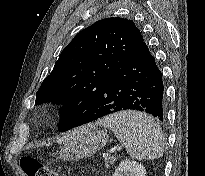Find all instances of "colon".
<instances>
[{"label": "colon", "instance_id": "1", "mask_svg": "<svg viewBox=\"0 0 205 176\" xmlns=\"http://www.w3.org/2000/svg\"><path fill=\"white\" fill-rule=\"evenodd\" d=\"M20 166L27 176H58L32 157L22 158Z\"/></svg>", "mask_w": 205, "mask_h": 176}]
</instances>
